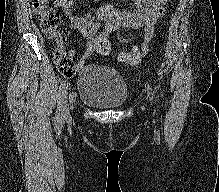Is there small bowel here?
<instances>
[{"label":"small bowel","instance_id":"1","mask_svg":"<svg viewBox=\"0 0 219 192\" xmlns=\"http://www.w3.org/2000/svg\"><path fill=\"white\" fill-rule=\"evenodd\" d=\"M133 10H117L110 5L101 6L95 14L81 13L73 9V0H54V4L68 17L70 29L79 31L86 40L82 63L96 51V41L111 32L124 29L140 30L143 39L140 48L133 49L143 56L149 51V43L155 32V25L165 13L169 0H133ZM71 50V57L77 55Z\"/></svg>","mask_w":219,"mask_h":192}]
</instances>
